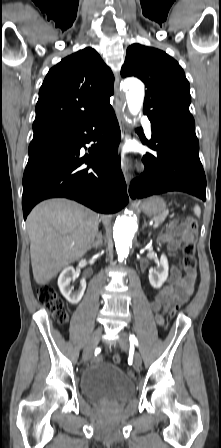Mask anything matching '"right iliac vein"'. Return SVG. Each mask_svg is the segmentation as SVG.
I'll list each match as a JSON object with an SVG mask.
<instances>
[{
	"label": "right iliac vein",
	"mask_w": 221,
	"mask_h": 448,
	"mask_svg": "<svg viewBox=\"0 0 221 448\" xmlns=\"http://www.w3.org/2000/svg\"><path fill=\"white\" fill-rule=\"evenodd\" d=\"M102 328L99 327L95 330V332L93 333V335L91 336V338L89 339L87 345L84 348V352H83V359L84 361H88L91 357L92 354L95 350V348L98 345V342L101 338L102 335Z\"/></svg>",
	"instance_id": "right-iliac-vein-1"
}]
</instances>
